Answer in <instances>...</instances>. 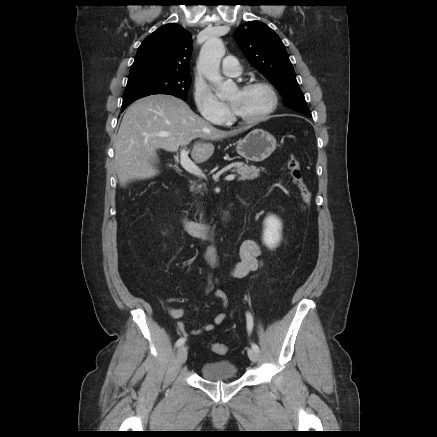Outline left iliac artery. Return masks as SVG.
<instances>
[{
    "instance_id": "44dca946",
    "label": "left iliac artery",
    "mask_w": 437,
    "mask_h": 437,
    "mask_svg": "<svg viewBox=\"0 0 437 437\" xmlns=\"http://www.w3.org/2000/svg\"><path fill=\"white\" fill-rule=\"evenodd\" d=\"M246 318H247V330H248V333H251L252 328H253V317H252V315L249 312H247L246 313ZM251 347H252V349H254L256 351H259V347H258L257 344L252 343Z\"/></svg>"
}]
</instances>
